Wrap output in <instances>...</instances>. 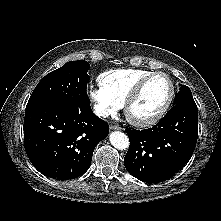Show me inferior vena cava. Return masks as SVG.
<instances>
[{"label": "inferior vena cava", "mask_w": 221, "mask_h": 221, "mask_svg": "<svg viewBox=\"0 0 221 221\" xmlns=\"http://www.w3.org/2000/svg\"><path fill=\"white\" fill-rule=\"evenodd\" d=\"M94 110H95L94 111L95 114L98 116H102V117L106 118L109 115L108 111L102 106L95 105Z\"/></svg>", "instance_id": "inferior-vena-cava-1"}]
</instances>
